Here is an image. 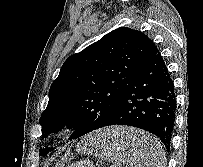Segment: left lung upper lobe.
<instances>
[{
  "mask_svg": "<svg viewBox=\"0 0 203 167\" xmlns=\"http://www.w3.org/2000/svg\"><path fill=\"white\" fill-rule=\"evenodd\" d=\"M156 48L141 31L120 27L70 56L49 90L39 123L43 137L65 124L78 138L100 126L116 111L134 71ZM50 149L40 150L45 156Z\"/></svg>",
  "mask_w": 203,
  "mask_h": 167,
  "instance_id": "5c2ea615",
  "label": "left lung upper lobe"
}]
</instances>
